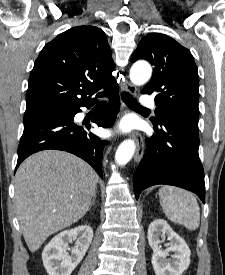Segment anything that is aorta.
Segmentation results:
<instances>
[{"label": "aorta", "instance_id": "obj_1", "mask_svg": "<svg viewBox=\"0 0 225 275\" xmlns=\"http://www.w3.org/2000/svg\"><path fill=\"white\" fill-rule=\"evenodd\" d=\"M152 75L151 66L144 61L136 62L130 69V80L135 85L145 84ZM135 152V143L133 140H125L118 147L115 154V162L118 165L127 164Z\"/></svg>", "mask_w": 225, "mask_h": 275}]
</instances>
